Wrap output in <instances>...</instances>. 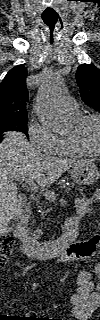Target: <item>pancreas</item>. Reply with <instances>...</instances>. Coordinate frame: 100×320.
I'll return each mask as SVG.
<instances>
[{"mask_svg":"<svg viewBox=\"0 0 100 320\" xmlns=\"http://www.w3.org/2000/svg\"><path fill=\"white\" fill-rule=\"evenodd\" d=\"M40 212L42 213L41 218L43 219L45 217V214L48 212V209H43L40 207ZM35 233H36V237L39 238L42 234V230L39 227H37V229L35 230Z\"/></svg>","mask_w":100,"mask_h":320,"instance_id":"pancreas-1","label":"pancreas"}]
</instances>
